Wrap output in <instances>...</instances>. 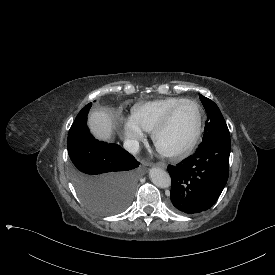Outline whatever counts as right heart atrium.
Masks as SVG:
<instances>
[{
	"instance_id": "right-heart-atrium-1",
	"label": "right heart atrium",
	"mask_w": 275,
	"mask_h": 275,
	"mask_svg": "<svg viewBox=\"0 0 275 275\" xmlns=\"http://www.w3.org/2000/svg\"><path fill=\"white\" fill-rule=\"evenodd\" d=\"M126 123V142L132 146L138 144L144 136L142 130L131 121H126Z\"/></svg>"
}]
</instances>
